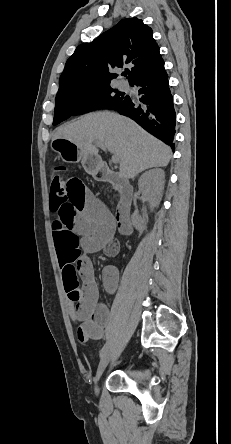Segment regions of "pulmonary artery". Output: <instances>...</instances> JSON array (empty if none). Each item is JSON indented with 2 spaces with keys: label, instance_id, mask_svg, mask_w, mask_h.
Instances as JSON below:
<instances>
[{
  "label": "pulmonary artery",
  "instance_id": "pulmonary-artery-1",
  "mask_svg": "<svg viewBox=\"0 0 231 444\" xmlns=\"http://www.w3.org/2000/svg\"><path fill=\"white\" fill-rule=\"evenodd\" d=\"M118 86L124 90L128 89V83L125 80H120L118 82Z\"/></svg>",
  "mask_w": 231,
  "mask_h": 444
}]
</instances>
